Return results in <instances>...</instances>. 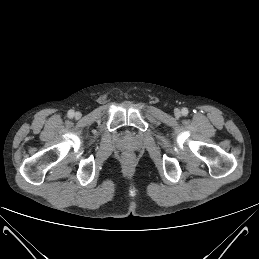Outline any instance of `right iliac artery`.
<instances>
[{
	"label": "right iliac artery",
	"instance_id": "obj_1",
	"mask_svg": "<svg viewBox=\"0 0 259 259\" xmlns=\"http://www.w3.org/2000/svg\"><path fill=\"white\" fill-rule=\"evenodd\" d=\"M74 114H75V113H74V110H69V111H68V117H69V118H72V117L74 116Z\"/></svg>",
	"mask_w": 259,
	"mask_h": 259
}]
</instances>
